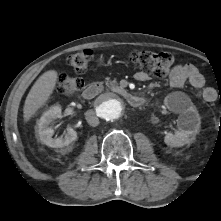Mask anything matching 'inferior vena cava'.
Segmentation results:
<instances>
[{
	"mask_svg": "<svg viewBox=\"0 0 221 221\" xmlns=\"http://www.w3.org/2000/svg\"><path fill=\"white\" fill-rule=\"evenodd\" d=\"M86 120H87L88 124L93 127L98 126V124H99V119H98V117H96V115L94 114L93 111L86 112Z\"/></svg>",
	"mask_w": 221,
	"mask_h": 221,
	"instance_id": "1",
	"label": "inferior vena cava"
}]
</instances>
